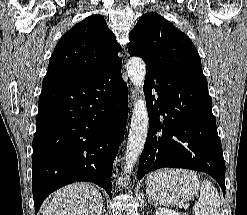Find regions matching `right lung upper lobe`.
I'll use <instances>...</instances> for the list:
<instances>
[{"label":"right lung upper lobe","instance_id":"obj_1","mask_svg":"<svg viewBox=\"0 0 247 215\" xmlns=\"http://www.w3.org/2000/svg\"><path fill=\"white\" fill-rule=\"evenodd\" d=\"M121 46L101 15H91L74 25L57 43L48 74L84 80L121 63Z\"/></svg>","mask_w":247,"mask_h":215}]
</instances>
